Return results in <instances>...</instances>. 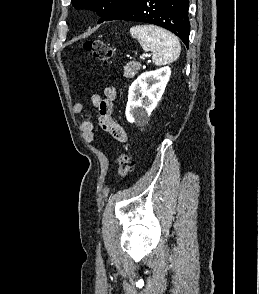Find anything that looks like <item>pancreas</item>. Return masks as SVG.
I'll return each instance as SVG.
<instances>
[{"mask_svg":"<svg viewBox=\"0 0 259 294\" xmlns=\"http://www.w3.org/2000/svg\"><path fill=\"white\" fill-rule=\"evenodd\" d=\"M141 64L136 61H131L124 66V76L126 78H133L140 69Z\"/></svg>","mask_w":259,"mask_h":294,"instance_id":"cf45deb5","label":"pancreas"}]
</instances>
